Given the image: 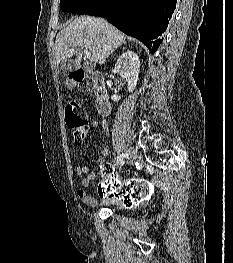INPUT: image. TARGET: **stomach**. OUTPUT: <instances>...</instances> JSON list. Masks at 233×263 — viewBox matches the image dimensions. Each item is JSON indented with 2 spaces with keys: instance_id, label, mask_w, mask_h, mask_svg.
I'll use <instances>...</instances> for the list:
<instances>
[{
  "instance_id": "1",
  "label": "stomach",
  "mask_w": 233,
  "mask_h": 263,
  "mask_svg": "<svg viewBox=\"0 0 233 263\" xmlns=\"http://www.w3.org/2000/svg\"><path fill=\"white\" fill-rule=\"evenodd\" d=\"M68 86H69V87H72V86H73V83L68 82Z\"/></svg>"
}]
</instances>
